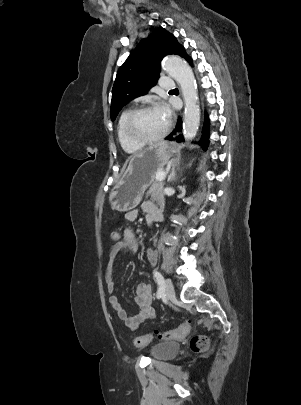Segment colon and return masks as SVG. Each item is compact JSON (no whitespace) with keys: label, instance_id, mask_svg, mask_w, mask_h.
Returning <instances> with one entry per match:
<instances>
[{"label":"colon","instance_id":"1","mask_svg":"<svg viewBox=\"0 0 301 405\" xmlns=\"http://www.w3.org/2000/svg\"><path fill=\"white\" fill-rule=\"evenodd\" d=\"M119 232L113 231L110 235V240L112 243H117ZM190 330V322L186 321L182 323L179 327L172 330H154L153 332L146 334L144 336L136 337L134 339V345L137 347H142L151 342V340L156 337L161 340H173L185 337ZM209 346V339L204 335H196L190 339V348L193 352H203L207 350Z\"/></svg>","mask_w":301,"mask_h":405}]
</instances>
